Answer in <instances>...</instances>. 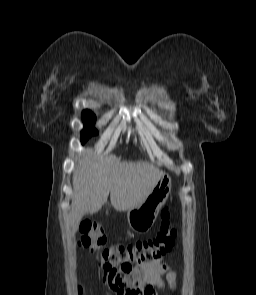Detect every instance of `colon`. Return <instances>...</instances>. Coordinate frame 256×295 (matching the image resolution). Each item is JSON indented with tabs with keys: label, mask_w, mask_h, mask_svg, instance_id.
<instances>
[{
	"label": "colon",
	"mask_w": 256,
	"mask_h": 295,
	"mask_svg": "<svg viewBox=\"0 0 256 295\" xmlns=\"http://www.w3.org/2000/svg\"><path fill=\"white\" fill-rule=\"evenodd\" d=\"M176 236L175 224L169 207L160 213V230L150 239L138 240L130 244L105 247L106 235L97 223L85 221L80 225L78 246L91 252H99L98 266L106 271H127L160 259L171 251Z\"/></svg>",
	"instance_id": "5ec220e1"
}]
</instances>
